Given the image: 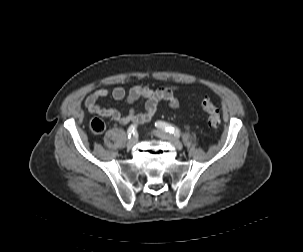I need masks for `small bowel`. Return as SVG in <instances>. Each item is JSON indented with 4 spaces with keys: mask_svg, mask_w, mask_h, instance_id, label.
<instances>
[{
    "mask_svg": "<svg viewBox=\"0 0 303 252\" xmlns=\"http://www.w3.org/2000/svg\"><path fill=\"white\" fill-rule=\"evenodd\" d=\"M182 89L183 87L179 85H165L156 89H151L146 85H136L128 92L121 86H115L111 89L99 88L86 98L84 104L90 113L111 119L121 125L129 123L143 124L153 117L158 104L162 101H166L173 110L179 109L180 101L177 93ZM107 97H111L118 102L126 101L128 104L144 101L146 112L139 113L132 106L125 115H122L118 110L100 107L98 101Z\"/></svg>",
    "mask_w": 303,
    "mask_h": 252,
    "instance_id": "small-bowel-1",
    "label": "small bowel"
}]
</instances>
